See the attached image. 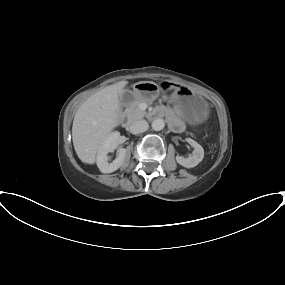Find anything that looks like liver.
<instances>
[{
  "label": "liver",
  "instance_id": "6515ba94",
  "mask_svg": "<svg viewBox=\"0 0 285 285\" xmlns=\"http://www.w3.org/2000/svg\"><path fill=\"white\" fill-rule=\"evenodd\" d=\"M127 83L120 81L96 92L76 112L72 139L76 154L82 162L95 163L99 148L118 125L121 109L119 97L124 94Z\"/></svg>",
  "mask_w": 285,
  "mask_h": 285
}]
</instances>
